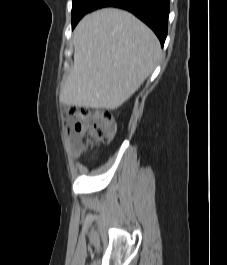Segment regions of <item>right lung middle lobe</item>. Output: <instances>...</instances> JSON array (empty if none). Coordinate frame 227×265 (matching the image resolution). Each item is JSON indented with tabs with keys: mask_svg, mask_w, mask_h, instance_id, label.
<instances>
[{
	"mask_svg": "<svg viewBox=\"0 0 227 265\" xmlns=\"http://www.w3.org/2000/svg\"><path fill=\"white\" fill-rule=\"evenodd\" d=\"M97 1L98 0H73L72 29L86 13L93 10Z\"/></svg>",
	"mask_w": 227,
	"mask_h": 265,
	"instance_id": "right-lung-middle-lobe-1",
	"label": "right lung middle lobe"
}]
</instances>
